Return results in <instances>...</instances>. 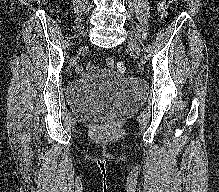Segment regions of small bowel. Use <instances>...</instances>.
<instances>
[{
    "instance_id": "1",
    "label": "small bowel",
    "mask_w": 219,
    "mask_h": 192,
    "mask_svg": "<svg viewBox=\"0 0 219 192\" xmlns=\"http://www.w3.org/2000/svg\"><path fill=\"white\" fill-rule=\"evenodd\" d=\"M89 69L92 70V71H96L97 70V68L94 65H90Z\"/></svg>"
}]
</instances>
